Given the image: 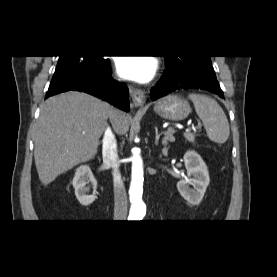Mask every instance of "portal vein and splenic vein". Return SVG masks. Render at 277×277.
<instances>
[{"mask_svg": "<svg viewBox=\"0 0 277 277\" xmlns=\"http://www.w3.org/2000/svg\"><path fill=\"white\" fill-rule=\"evenodd\" d=\"M190 130H191V128H187L185 131H186V132H189Z\"/></svg>", "mask_w": 277, "mask_h": 277, "instance_id": "18ae733b", "label": "portal vein and splenic vein"}]
</instances>
